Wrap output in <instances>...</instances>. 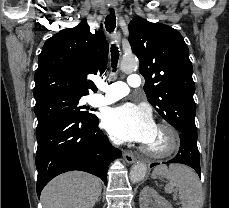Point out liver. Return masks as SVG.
<instances>
[{"mask_svg":"<svg viewBox=\"0 0 229 208\" xmlns=\"http://www.w3.org/2000/svg\"><path fill=\"white\" fill-rule=\"evenodd\" d=\"M102 192L99 178L67 172L51 180L41 192L43 208H93Z\"/></svg>","mask_w":229,"mask_h":208,"instance_id":"liver-1","label":"liver"}]
</instances>
